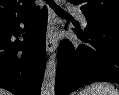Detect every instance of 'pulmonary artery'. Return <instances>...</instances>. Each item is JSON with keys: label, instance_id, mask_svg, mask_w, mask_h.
I'll list each match as a JSON object with an SVG mask.
<instances>
[{"label": "pulmonary artery", "instance_id": "obj_1", "mask_svg": "<svg viewBox=\"0 0 119 95\" xmlns=\"http://www.w3.org/2000/svg\"><path fill=\"white\" fill-rule=\"evenodd\" d=\"M71 10L78 16L79 20L81 21V23L83 25L87 24L86 18L83 15V13L81 12L80 9L76 8V7H72Z\"/></svg>", "mask_w": 119, "mask_h": 95}]
</instances>
